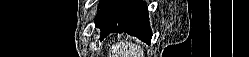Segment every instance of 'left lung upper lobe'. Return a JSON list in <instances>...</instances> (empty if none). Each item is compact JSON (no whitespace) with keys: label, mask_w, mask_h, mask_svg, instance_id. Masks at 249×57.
Wrapping results in <instances>:
<instances>
[{"label":"left lung upper lobe","mask_w":249,"mask_h":57,"mask_svg":"<svg viewBox=\"0 0 249 57\" xmlns=\"http://www.w3.org/2000/svg\"><path fill=\"white\" fill-rule=\"evenodd\" d=\"M107 0H101L100 3H99V7L100 8Z\"/></svg>","instance_id":"obj_1"}]
</instances>
